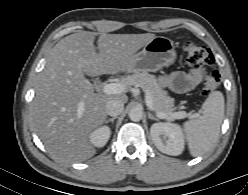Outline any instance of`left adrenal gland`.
Returning <instances> with one entry per match:
<instances>
[{
	"label": "left adrenal gland",
	"instance_id": "a2214340",
	"mask_svg": "<svg viewBox=\"0 0 248 195\" xmlns=\"http://www.w3.org/2000/svg\"><path fill=\"white\" fill-rule=\"evenodd\" d=\"M148 118L158 121V119L153 114H151L150 112H148Z\"/></svg>",
	"mask_w": 248,
	"mask_h": 195
}]
</instances>
